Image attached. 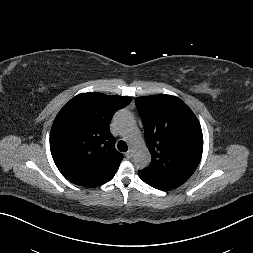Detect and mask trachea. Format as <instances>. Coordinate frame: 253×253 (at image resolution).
Listing matches in <instances>:
<instances>
[{
    "label": "trachea",
    "instance_id": "3493384b",
    "mask_svg": "<svg viewBox=\"0 0 253 253\" xmlns=\"http://www.w3.org/2000/svg\"><path fill=\"white\" fill-rule=\"evenodd\" d=\"M117 148L121 152H126L128 150V146H127L125 141H119L118 145H117Z\"/></svg>",
    "mask_w": 253,
    "mask_h": 253
}]
</instances>
